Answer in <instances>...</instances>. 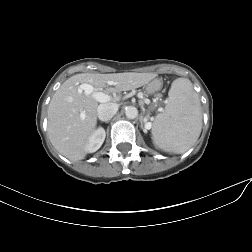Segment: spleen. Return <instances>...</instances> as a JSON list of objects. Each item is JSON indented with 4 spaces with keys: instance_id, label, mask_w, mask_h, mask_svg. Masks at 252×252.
I'll use <instances>...</instances> for the list:
<instances>
[{
    "instance_id": "spleen-1",
    "label": "spleen",
    "mask_w": 252,
    "mask_h": 252,
    "mask_svg": "<svg viewBox=\"0 0 252 252\" xmlns=\"http://www.w3.org/2000/svg\"><path fill=\"white\" fill-rule=\"evenodd\" d=\"M202 130L201 103L187 78L175 79L165 109L152 127L154 144L165 152L181 154L198 140Z\"/></svg>"
}]
</instances>
